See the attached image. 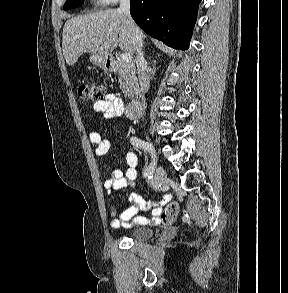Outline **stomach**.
<instances>
[{"label":"stomach","instance_id":"1","mask_svg":"<svg viewBox=\"0 0 288 293\" xmlns=\"http://www.w3.org/2000/svg\"><path fill=\"white\" fill-rule=\"evenodd\" d=\"M90 62L96 66L102 67L104 70L112 69V62L109 55H100L97 53H91Z\"/></svg>","mask_w":288,"mask_h":293}]
</instances>
